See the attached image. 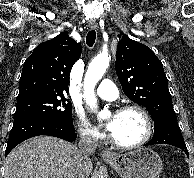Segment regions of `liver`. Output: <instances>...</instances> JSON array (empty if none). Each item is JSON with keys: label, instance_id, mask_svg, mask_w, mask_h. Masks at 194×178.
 I'll use <instances>...</instances> for the list:
<instances>
[{"label": "liver", "instance_id": "liver-1", "mask_svg": "<svg viewBox=\"0 0 194 178\" xmlns=\"http://www.w3.org/2000/svg\"><path fill=\"white\" fill-rule=\"evenodd\" d=\"M79 163L75 145L56 137L38 136L9 153L4 178H73ZM92 169L89 159L84 163L85 178Z\"/></svg>", "mask_w": 194, "mask_h": 178}]
</instances>
